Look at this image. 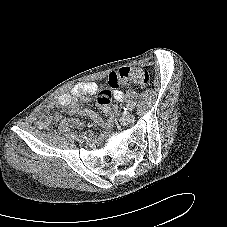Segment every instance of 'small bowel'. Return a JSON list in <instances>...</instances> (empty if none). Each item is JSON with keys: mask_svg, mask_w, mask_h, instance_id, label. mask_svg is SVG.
Instances as JSON below:
<instances>
[{"mask_svg": "<svg viewBox=\"0 0 227 227\" xmlns=\"http://www.w3.org/2000/svg\"><path fill=\"white\" fill-rule=\"evenodd\" d=\"M98 88L99 86L95 82H80L75 84L70 91L60 94L54 103H50L44 108V112L41 114L38 120L39 128L46 129L50 125L55 124L59 121L78 128L82 127V123L77 120L69 118L61 119V116L57 113L48 114L57 105L68 109L73 114L87 116L100 126H111L112 119L116 113L115 106L112 105L108 110L103 112L107 116V118H104L95 111L84 108L79 104V100L87 101L88 98L86 97V95L95 94ZM121 96V91H114V98L117 101L122 102Z\"/></svg>", "mask_w": 227, "mask_h": 227, "instance_id": "c3829d8e", "label": "small bowel"}]
</instances>
